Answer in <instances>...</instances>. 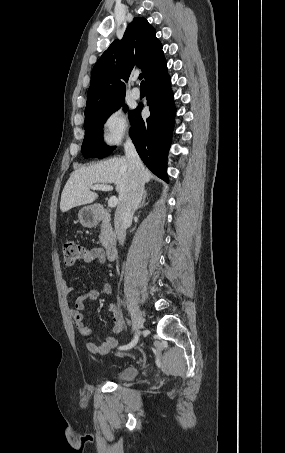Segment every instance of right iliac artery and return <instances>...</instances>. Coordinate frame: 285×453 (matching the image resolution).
Here are the masks:
<instances>
[{
    "label": "right iliac artery",
    "mask_w": 285,
    "mask_h": 453,
    "mask_svg": "<svg viewBox=\"0 0 285 453\" xmlns=\"http://www.w3.org/2000/svg\"><path fill=\"white\" fill-rule=\"evenodd\" d=\"M137 342H138V336L135 335L134 338H133V340H132L129 344H127V345H125V346H122V347H120V348H121V349H125V350L130 349V348L134 347V346L136 345Z\"/></svg>",
    "instance_id": "82829eb1"
}]
</instances>
